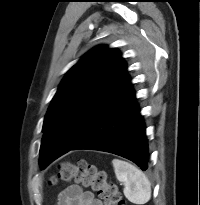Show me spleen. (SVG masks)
Returning a JSON list of instances; mask_svg holds the SVG:
<instances>
[{
    "label": "spleen",
    "instance_id": "spleen-1",
    "mask_svg": "<svg viewBox=\"0 0 200 205\" xmlns=\"http://www.w3.org/2000/svg\"><path fill=\"white\" fill-rule=\"evenodd\" d=\"M116 178L124 184L125 197L134 204H145L151 198V185L146 175L136 166L113 159Z\"/></svg>",
    "mask_w": 200,
    "mask_h": 205
}]
</instances>
